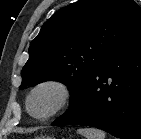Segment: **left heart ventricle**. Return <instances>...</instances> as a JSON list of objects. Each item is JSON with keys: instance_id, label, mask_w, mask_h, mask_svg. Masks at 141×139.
Wrapping results in <instances>:
<instances>
[{"instance_id": "left-heart-ventricle-1", "label": "left heart ventricle", "mask_w": 141, "mask_h": 139, "mask_svg": "<svg viewBox=\"0 0 141 139\" xmlns=\"http://www.w3.org/2000/svg\"><path fill=\"white\" fill-rule=\"evenodd\" d=\"M59 95L53 88H43L37 91L31 100V110L42 116L49 113L57 104Z\"/></svg>"}]
</instances>
